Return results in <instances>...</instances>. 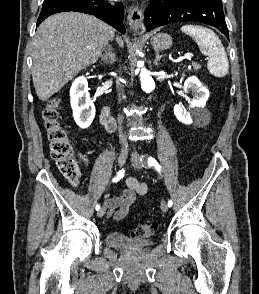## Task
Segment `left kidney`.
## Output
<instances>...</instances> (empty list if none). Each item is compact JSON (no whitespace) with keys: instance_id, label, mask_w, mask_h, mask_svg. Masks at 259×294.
Returning <instances> with one entry per match:
<instances>
[{"instance_id":"1","label":"left kidney","mask_w":259,"mask_h":294,"mask_svg":"<svg viewBox=\"0 0 259 294\" xmlns=\"http://www.w3.org/2000/svg\"><path fill=\"white\" fill-rule=\"evenodd\" d=\"M184 91H191L193 94V99L190 102V109L189 111H186L179 103L174 106V114L183 124L189 125L195 123L200 125L202 116L205 114L204 107L209 97V91L195 76H190L186 79L184 83Z\"/></svg>"}]
</instances>
